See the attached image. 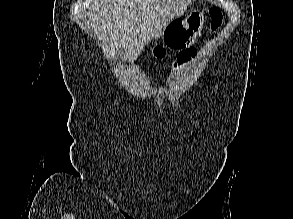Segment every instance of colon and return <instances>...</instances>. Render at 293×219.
<instances>
[{
	"mask_svg": "<svg viewBox=\"0 0 293 219\" xmlns=\"http://www.w3.org/2000/svg\"><path fill=\"white\" fill-rule=\"evenodd\" d=\"M209 15L211 18V29L216 31L222 24V13L218 8H211L209 10ZM155 56L161 58L163 56V51L161 49H156ZM195 56V49L184 50L178 55L175 66H182L192 60Z\"/></svg>",
	"mask_w": 293,
	"mask_h": 219,
	"instance_id": "obj_1",
	"label": "colon"
}]
</instances>
